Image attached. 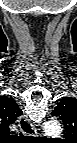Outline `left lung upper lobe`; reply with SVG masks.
I'll return each instance as SVG.
<instances>
[{
    "label": "left lung upper lobe",
    "mask_w": 77,
    "mask_h": 143,
    "mask_svg": "<svg viewBox=\"0 0 77 143\" xmlns=\"http://www.w3.org/2000/svg\"><path fill=\"white\" fill-rule=\"evenodd\" d=\"M51 114L62 120L64 136L66 138H74L77 132V99L72 97L60 99Z\"/></svg>",
    "instance_id": "left-lung-upper-lobe-1"
}]
</instances>
